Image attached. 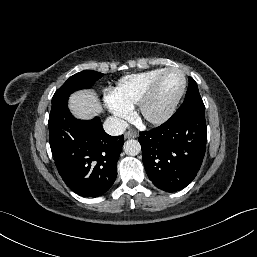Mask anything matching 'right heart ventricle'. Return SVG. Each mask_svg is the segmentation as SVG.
Here are the masks:
<instances>
[{"label":"right heart ventricle","instance_id":"obj_1","mask_svg":"<svg viewBox=\"0 0 257 257\" xmlns=\"http://www.w3.org/2000/svg\"><path fill=\"white\" fill-rule=\"evenodd\" d=\"M166 68H157L123 77L110 92V97L120 106L132 109L146 93L154 79Z\"/></svg>","mask_w":257,"mask_h":257}]
</instances>
